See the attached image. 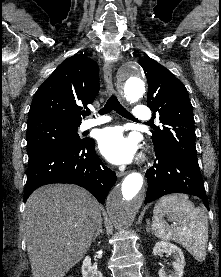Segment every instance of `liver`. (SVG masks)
I'll use <instances>...</instances> for the list:
<instances>
[{
	"mask_svg": "<svg viewBox=\"0 0 221 277\" xmlns=\"http://www.w3.org/2000/svg\"><path fill=\"white\" fill-rule=\"evenodd\" d=\"M101 209L87 190L73 184L35 190L23 215L33 277H64L89 250Z\"/></svg>",
	"mask_w": 221,
	"mask_h": 277,
	"instance_id": "obj_1",
	"label": "liver"
}]
</instances>
